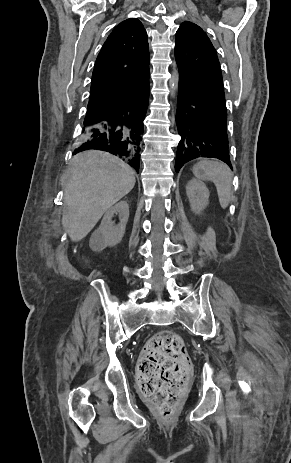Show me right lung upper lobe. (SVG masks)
Segmentation results:
<instances>
[{
	"label": "right lung upper lobe",
	"mask_w": 291,
	"mask_h": 463,
	"mask_svg": "<svg viewBox=\"0 0 291 463\" xmlns=\"http://www.w3.org/2000/svg\"><path fill=\"white\" fill-rule=\"evenodd\" d=\"M148 85L147 33L138 19L129 18L113 29L98 54L86 123L116 109L128 96Z\"/></svg>",
	"instance_id": "cb5924a9"
}]
</instances>
